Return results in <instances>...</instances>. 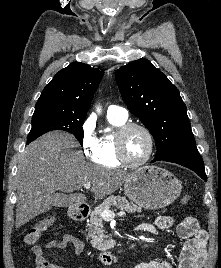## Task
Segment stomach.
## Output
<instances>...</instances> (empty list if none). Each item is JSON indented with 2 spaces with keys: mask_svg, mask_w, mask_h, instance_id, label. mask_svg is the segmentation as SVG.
Instances as JSON below:
<instances>
[{
  "mask_svg": "<svg viewBox=\"0 0 221 268\" xmlns=\"http://www.w3.org/2000/svg\"><path fill=\"white\" fill-rule=\"evenodd\" d=\"M180 181L157 166H144L124 183L125 195L138 206L160 209L173 203L181 193Z\"/></svg>",
  "mask_w": 221,
  "mask_h": 268,
  "instance_id": "0dacf381",
  "label": "stomach"
}]
</instances>
